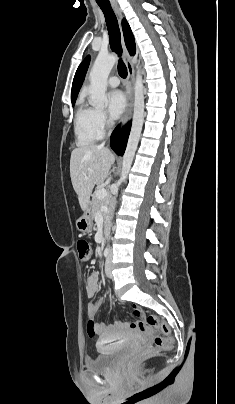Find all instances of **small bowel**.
<instances>
[{
    "label": "small bowel",
    "instance_id": "small-bowel-1",
    "mask_svg": "<svg viewBox=\"0 0 235 404\" xmlns=\"http://www.w3.org/2000/svg\"><path fill=\"white\" fill-rule=\"evenodd\" d=\"M99 290V277L96 273H91L87 278L86 294L88 297H93ZM104 299L101 298L93 303H89L87 306V315L90 318L88 324V331L93 335H97L99 338V344L119 340L127 335L132 330H137L134 327H128L123 322H117L112 325H105L102 323H95L93 321L98 310L102 306ZM100 347V346H99Z\"/></svg>",
    "mask_w": 235,
    "mask_h": 404
}]
</instances>
